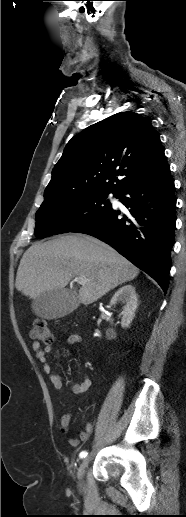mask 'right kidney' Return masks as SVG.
I'll return each instance as SVG.
<instances>
[{"instance_id":"1","label":"right kidney","mask_w":186,"mask_h":517,"mask_svg":"<svg viewBox=\"0 0 186 517\" xmlns=\"http://www.w3.org/2000/svg\"><path fill=\"white\" fill-rule=\"evenodd\" d=\"M119 302L124 304L123 311L121 312V326L128 328L135 317V311L138 306L137 294L132 285H125L118 289L111 298L110 305H116Z\"/></svg>"}]
</instances>
